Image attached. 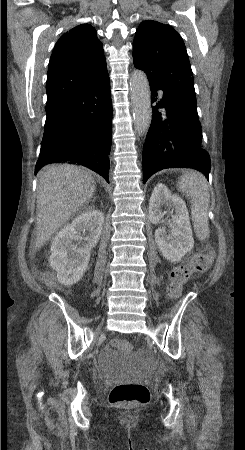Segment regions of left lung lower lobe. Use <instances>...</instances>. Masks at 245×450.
<instances>
[{
  "label": "left lung lower lobe",
  "instance_id": "obj_1",
  "mask_svg": "<svg viewBox=\"0 0 245 450\" xmlns=\"http://www.w3.org/2000/svg\"><path fill=\"white\" fill-rule=\"evenodd\" d=\"M151 101L162 100L153 107L151 125L144 144L143 182L154 173L167 168L186 167L210 172V157L202 145V130L197 108L186 102L161 80L148 77ZM164 107L166 114L158 109Z\"/></svg>",
  "mask_w": 245,
  "mask_h": 450
}]
</instances>
